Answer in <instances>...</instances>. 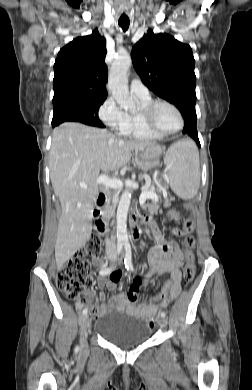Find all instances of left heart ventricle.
<instances>
[{"instance_id": "b2bd125f", "label": "left heart ventricle", "mask_w": 252, "mask_h": 390, "mask_svg": "<svg viewBox=\"0 0 252 390\" xmlns=\"http://www.w3.org/2000/svg\"><path fill=\"white\" fill-rule=\"evenodd\" d=\"M157 127L165 131H171L178 127L179 119L175 111L166 105H160L154 115Z\"/></svg>"}]
</instances>
